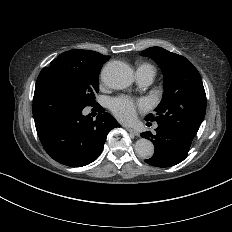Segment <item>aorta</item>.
I'll list each match as a JSON object with an SVG mask.
<instances>
[{
    "label": "aorta",
    "mask_w": 232,
    "mask_h": 232,
    "mask_svg": "<svg viewBox=\"0 0 232 232\" xmlns=\"http://www.w3.org/2000/svg\"><path fill=\"white\" fill-rule=\"evenodd\" d=\"M101 78L106 86L114 90L127 88L134 80L132 69L121 61L109 62L103 68ZM135 149L137 154L143 159L151 158L154 154V145L146 138L137 140Z\"/></svg>",
    "instance_id": "762f6f07"
}]
</instances>
